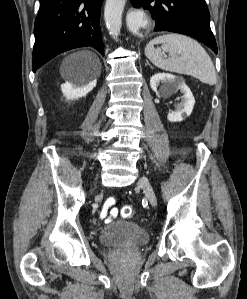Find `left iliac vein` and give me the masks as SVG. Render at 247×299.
<instances>
[{"label": "left iliac vein", "instance_id": "left-iliac-vein-1", "mask_svg": "<svg viewBox=\"0 0 247 299\" xmlns=\"http://www.w3.org/2000/svg\"><path fill=\"white\" fill-rule=\"evenodd\" d=\"M138 186L144 191L150 204L155 207L157 205V199L149 180L142 176L138 181Z\"/></svg>", "mask_w": 247, "mask_h": 299}]
</instances>
